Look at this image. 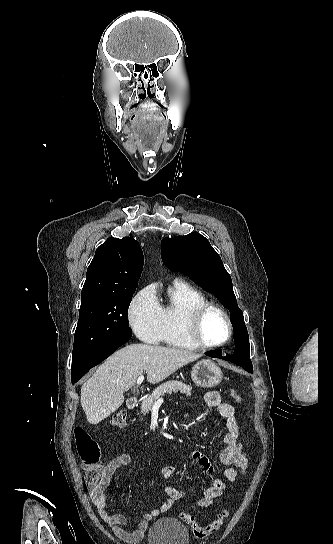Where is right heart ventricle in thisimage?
<instances>
[{
	"instance_id": "1",
	"label": "right heart ventricle",
	"mask_w": 333,
	"mask_h": 544,
	"mask_svg": "<svg viewBox=\"0 0 333 544\" xmlns=\"http://www.w3.org/2000/svg\"><path fill=\"white\" fill-rule=\"evenodd\" d=\"M206 301L198 289L181 281L175 282L168 289V301L161 306L164 322L162 341L178 348H199L189 336L187 322L191 311Z\"/></svg>"
}]
</instances>
